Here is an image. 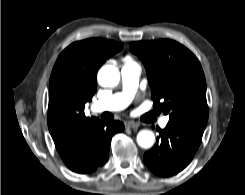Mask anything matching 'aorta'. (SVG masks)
I'll return each mask as SVG.
<instances>
[{
    "mask_svg": "<svg viewBox=\"0 0 245 195\" xmlns=\"http://www.w3.org/2000/svg\"><path fill=\"white\" fill-rule=\"evenodd\" d=\"M120 72L112 65L103 66L98 72V82L103 87H115L119 84ZM155 141V135L150 130H141L137 134V143L142 148H150Z\"/></svg>",
    "mask_w": 245,
    "mask_h": 195,
    "instance_id": "obj_1",
    "label": "aorta"
}]
</instances>
